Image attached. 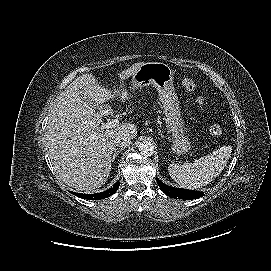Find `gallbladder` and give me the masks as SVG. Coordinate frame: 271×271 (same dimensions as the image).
Instances as JSON below:
<instances>
[{"instance_id":"1","label":"gallbladder","mask_w":271,"mask_h":271,"mask_svg":"<svg viewBox=\"0 0 271 271\" xmlns=\"http://www.w3.org/2000/svg\"><path fill=\"white\" fill-rule=\"evenodd\" d=\"M83 98V101L89 105L90 107H92L93 109L97 110L99 113L101 114H105V113H112V109L108 104L105 103H101V104H97L95 102H93L90 98L86 97L84 98V95L81 94L80 95Z\"/></svg>"}]
</instances>
